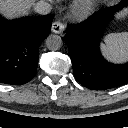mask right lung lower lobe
I'll return each instance as SVG.
<instances>
[{
	"label": "right lung lower lobe",
	"mask_w": 128,
	"mask_h": 128,
	"mask_svg": "<svg viewBox=\"0 0 128 128\" xmlns=\"http://www.w3.org/2000/svg\"><path fill=\"white\" fill-rule=\"evenodd\" d=\"M54 16L7 21L0 17V83L19 85L37 72L38 47L51 31Z\"/></svg>",
	"instance_id": "98d812e1"
}]
</instances>
